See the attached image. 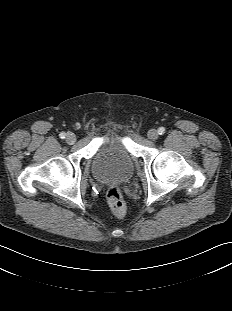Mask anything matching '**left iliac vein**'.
<instances>
[{
    "label": "left iliac vein",
    "instance_id": "obj_1",
    "mask_svg": "<svg viewBox=\"0 0 232 311\" xmlns=\"http://www.w3.org/2000/svg\"><path fill=\"white\" fill-rule=\"evenodd\" d=\"M158 131L156 129H151L148 131L147 137L151 141H155L158 138Z\"/></svg>",
    "mask_w": 232,
    "mask_h": 311
}]
</instances>
